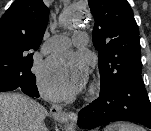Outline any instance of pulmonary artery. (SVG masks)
Wrapping results in <instances>:
<instances>
[{
	"mask_svg": "<svg viewBox=\"0 0 151 131\" xmlns=\"http://www.w3.org/2000/svg\"><path fill=\"white\" fill-rule=\"evenodd\" d=\"M71 42L77 47H84L87 44V35L83 32H78L73 35ZM69 43L70 41L66 37L59 36L49 41L45 45L44 51L49 52L53 50L62 49L68 46Z\"/></svg>",
	"mask_w": 151,
	"mask_h": 131,
	"instance_id": "pulmonary-artery-1",
	"label": "pulmonary artery"
}]
</instances>
